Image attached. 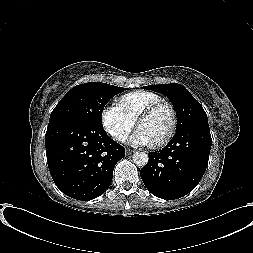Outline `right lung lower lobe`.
I'll list each match as a JSON object with an SVG mask.
<instances>
[{
    "label": "right lung lower lobe",
    "instance_id": "98d812e1",
    "mask_svg": "<svg viewBox=\"0 0 253 253\" xmlns=\"http://www.w3.org/2000/svg\"><path fill=\"white\" fill-rule=\"evenodd\" d=\"M47 163L57 187L78 200H91L110 186L123 146L103 127L80 120L50 123L45 135Z\"/></svg>",
    "mask_w": 253,
    "mask_h": 253
}]
</instances>
